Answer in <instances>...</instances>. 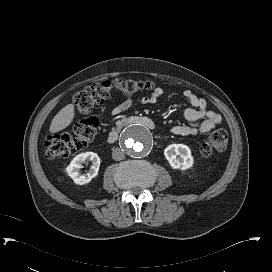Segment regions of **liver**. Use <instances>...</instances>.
Instances as JSON below:
<instances>
[{
    "instance_id": "1",
    "label": "liver",
    "mask_w": 272,
    "mask_h": 272,
    "mask_svg": "<svg viewBox=\"0 0 272 272\" xmlns=\"http://www.w3.org/2000/svg\"><path fill=\"white\" fill-rule=\"evenodd\" d=\"M74 116V104L66 105L52 119L49 131L56 133L65 129L72 123Z\"/></svg>"
}]
</instances>
